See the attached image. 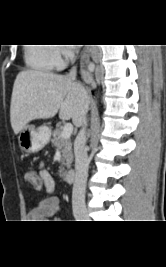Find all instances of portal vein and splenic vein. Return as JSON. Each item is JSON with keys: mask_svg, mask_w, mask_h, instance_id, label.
Wrapping results in <instances>:
<instances>
[{"mask_svg": "<svg viewBox=\"0 0 166 267\" xmlns=\"http://www.w3.org/2000/svg\"><path fill=\"white\" fill-rule=\"evenodd\" d=\"M73 132V125L71 123H66L63 127L61 137L69 138Z\"/></svg>", "mask_w": 166, "mask_h": 267, "instance_id": "1", "label": "portal vein and splenic vein"}]
</instances>
